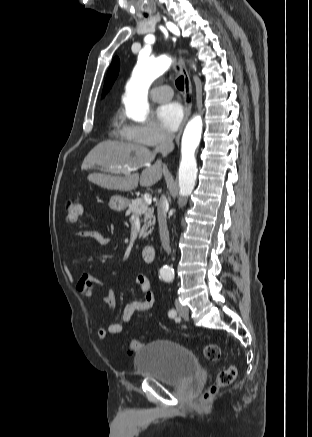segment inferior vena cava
<instances>
[{
    "instance_id": "inferior-vena-cava-1",
    "label": "inferior vena cava",
    "mask_w": 312,
    "mask_h": 437,
    "mask_svg": "<svg viewBox=\"0 0 312 437\" xmlns=\"http://www.w3.org/2000/svg\"><path fill=\"white\" fill-rule=\"evenodd\" d=\"M173 139H174V135L172 133L163 132L162 139L159 145L156 147L155 152H162L164 154L171 152L174 148ZM167 207H168L167 199L164 195H162L157 206L159 235L164 250L167 253H169L170 240H169V231H168L167 220H166Z\"/></svg>"
}]
</instances>
